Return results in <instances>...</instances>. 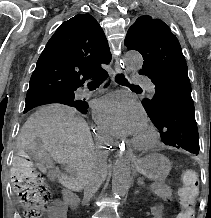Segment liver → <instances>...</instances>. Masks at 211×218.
Wrapping results in <instances>:
<instances>
[{"mask_svg":"<svg viewBox=\"0 0 211 218\" xmlns=\"http://www.w3.org/2000/svg\"><path fill=\"white\" fill-rule=\"evenodd\" d=\"M17 148L36 154V166L41 172H46L45 156L76 168V184L82 182L88 172L99 170L102 176H106V162L95 152L88 124L74 108L68 106L54 104L39 108L22 126ZM58 180L65 188L72 186L63 176Z\"/></svg>","mask_w":211,"mask_h":218,"instance_id":"6515ba94","label":"liver"}]
</instances>
